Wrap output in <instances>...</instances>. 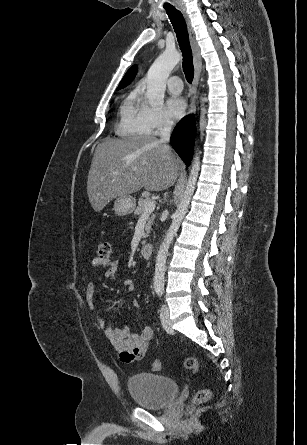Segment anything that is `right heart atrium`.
<instances>
[{"instance_id": "obj_1", "label": "right heart atrium", "mask_w": 307, "mask_h": 445, "mask_svg": "<svg viewBox=\"0 0 307 445\" xmlns=\"http://www.w3.org/2000/svg\"><path fill=\"white\" fill-rule=\"evenodd\" d=\"M141 121L145 130L152 135H160L173 124L165 110L160 106L153 105L150 101H146Z\"/></svg>"}]
</instances>
